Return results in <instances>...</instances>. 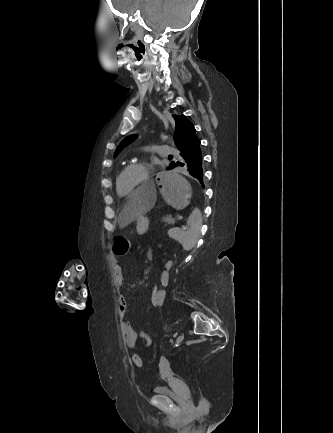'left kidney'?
Listing matches in <instances>:
<instances>
[{
	"label": "left kidney",
	"instance_id": "left-kidney-1",
	"mask_svg": "<svg viewBox=\"0 0 333 433\" xmlns=\"http://www.w3.org/2000/svg\"><path fill=\"white\" fill-rule=\"evenodd\" d=\"M174 229H175V228L170 229V230L168 231V233L174 231Z\"/></svg>",
	"mask_w": 333,
	"mask_h": 433
}]
</instances>
